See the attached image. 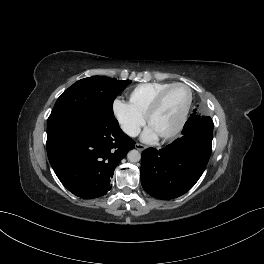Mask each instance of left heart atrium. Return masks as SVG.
Here are the masks:
<instances>
[{"instance_id":"left-heart-atrium-1","label":"left heart atrium","mask_w":264,"mask_h":264,"mask_svg":"<svg viewBox=\"0 0 264 264\" xmlns=\"http://www.w3.org/2000/svg\"><path fill=\"white\" fill-rule=\"evenodd\" d=\"M157 138V134L149 127L142 135V139L146 142L154 141Z\"/></svg>"}]
</instances>
